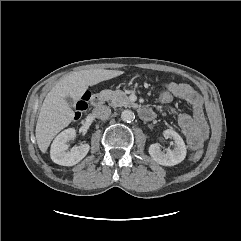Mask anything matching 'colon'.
<instances>
[{
	"mask_svg": "<svg viewBox=\"0 0 241 241\" xmlns=\"http://www.w3.org/2000/svg\"><path fill=\"white\" fill-rule=\"evenodd\" d=\"M173 94L170 92L168 88H164L158 95V100L160 103L167 104L173 100ZM89 96L87 94L83 95L81 99L76 103L75 106V119H78L80 115L87 109L88 107ZM202 157V151L195 152L191 159L195 162L198 161Z\"/></svg>",
	"mask_w": 241,
	"mask_h": 241,
	"instance_id": "5ec220e1",
	"label": "colon"
}]
</instances>
